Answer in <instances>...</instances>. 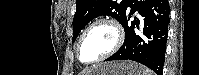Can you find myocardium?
I'll return each mask as SVG.
<instances>
[{
  "instance_id": "myocardium-1",
  "label": "myocardium",
  "mask_w": 199,
  "mask_h": 75,
  "mask_svg": "<svg viewBox=\"0 0 199 75\" xmlns=\"http://www.w3.org/2000/svg\"><path fill=\"white\" fill-rule=\"evenodd\" d=\"M97 26H107L110 29L113 30L114 32V44L111 47V49H109L106 53H104L103 55H101L100 57H98L97 59L91 61V62H84L81 57H80V48H81V44L83 39L85 38V36L94 28ZM124 40V32L123 29L121 27V25L119 24V22L117 20H115L114 18L111 17H101L98 18L96 20H94L93 22H91L86 29L83 31V33L80 35L77 45H76V56L77 59L80 63L85 64V65H91V64H96L98 62H101L105 59H107L108 57H110L111 55H113L114 53H116Z\"/></svg>"
}]
</instances>
